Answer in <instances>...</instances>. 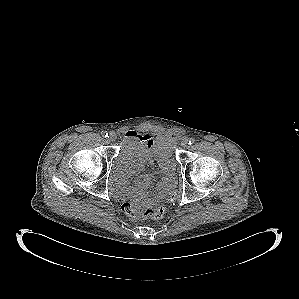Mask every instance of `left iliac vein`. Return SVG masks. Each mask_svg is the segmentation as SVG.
<instances>
[{
  "mask_svg": "<svg viewBox=\"0 0 299 299\" xmlns=\"http://www.w3.org/2000/svg\"><path fill=\"white\" fill-rule=\"evenodd\" d=\"M189 145V139L188 138H183L182 141H181V146L183 148H187Z\"/></svg>",
  "mask_w": 299,
  "mask_h": 299,
  "instance_id": "4c4485c4",
  "label": "left iliac vein"
}]
</instances>
